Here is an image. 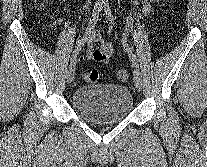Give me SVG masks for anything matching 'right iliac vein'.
<instances>
[{
	"label": "right iliac vein",
	"mask_w": 207,
	"mask_h": 167,
	"mask_svg": "<svg viewBox=\"0 0 207 167\" xmlns=\"http://www.w3.org/2000/svg\"><path fill=\"white\" fill-rule=\"evenodd\" d=\"M75 66L76 63L75 61L71 62L67 69V83H71L74 79V74H75Z\"/></svg>",
	"instance_id": "obj_1"
}]
</instances>
